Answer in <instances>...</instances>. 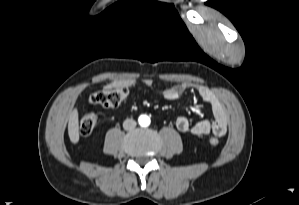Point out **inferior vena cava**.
Returning a JSON list of instances; mask_svg holds the SVG:
<instances>
[{
	"mask_svg": "<svg viewBox=\"0 0 299 205\" xmlns=\"http://www.w3.org/2000/svg\"><path fill=\"white\" fill-rule=\"evenodd\" d=\"M136 127V121L133 119H126L123 122V128L125 130H133Z\"/></svg>",
	"mask_w": 299,
	"mask_h": 205,
	"instance_id": "obj_1",
	"label": "inferior vena cava"
}]
</instances>
